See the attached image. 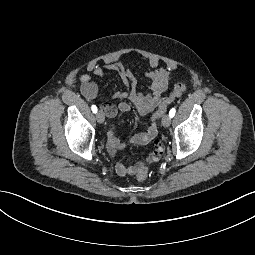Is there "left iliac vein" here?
<instances>
[{
	"instance_id": "left-iliac-vein-1",
	"label": "left iliac vein",
	"mask_w": 255,
	"mask_h": 255,
	"mask_svg": "<svg viewBox=\"0 0 255 255\" xmlns=\"http://www.w3.org/2000/svg\"><path fill=\"white\" fill-rule=\"evenodd\" d=\"M171 124V117L169 115H164L162 118V125L164 127H169Z\"/></svg>"
}]
</instances>
